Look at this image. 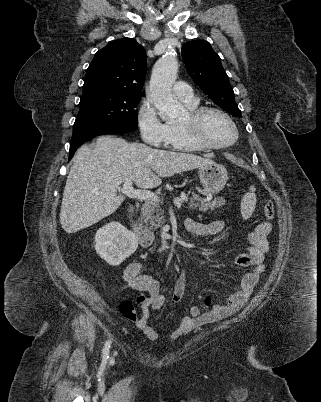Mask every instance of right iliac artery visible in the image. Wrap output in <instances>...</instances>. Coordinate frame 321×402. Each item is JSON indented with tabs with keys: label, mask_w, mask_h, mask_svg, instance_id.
<instances>
[{
	"label": "right iliac artery",
	"mask_w": 321,
	"mask_h": 402,
	"mask_svg": "<svg viewBox=\"0 0 321 402\" xmlns=\"http://www.w3.org/2000/svg\"><path fill=\"white\" fill-rule=\"evenodd\" d=\"M110 345H111V340H107L103 347V350H102V357L104 360H107L109 357Z\"/></svg>",
	"instance_id": "82829eb1"
}]
</instances>
